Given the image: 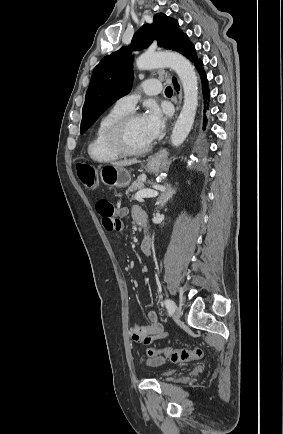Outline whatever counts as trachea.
Masks as SVG:
<instances>
[{"label": "trachea", "instance_id": "obj_1", "mask_svg": "<svg viewBox=\"0 0 283 434\" xmlns=\"http://www.w3.org/2000/svg\"><path fill=\"white\" fill-rule=\"evenodd\" d=\"M165 94H166V95H171V94H172V88H171L170 86H168V87L165 89Z\"/></svg>", "mask_w": 283, "mask_h": 434}]
</instances>
